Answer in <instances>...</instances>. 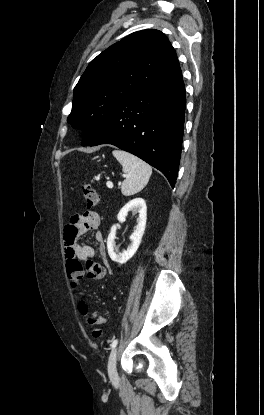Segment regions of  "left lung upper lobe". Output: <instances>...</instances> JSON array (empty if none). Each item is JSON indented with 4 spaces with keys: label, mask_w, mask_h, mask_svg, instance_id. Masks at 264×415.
<instances>
[{
    "label": "left lung upper lobe",
    "mask_w": 264,
    "mask_h": 415,
    "mask_svg": "<svg viewBox=\"0 0 264 415\" xmlns=\"http://www.w3.org/2000/svg\"><path fill=\"white\" fill-rule=\"evenodd\" d=\"M179 66L164 33L148 29L132 33L93 59L74 88L67 118L83 130V143L126 99Z\"/></svg>",
    "instance_id": "1"
}]
</instances>
